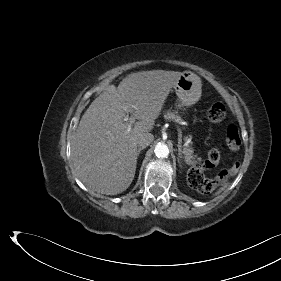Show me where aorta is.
Here are the masks:
<instances>
[{"label": "aorta", "instance_id": "762f6f07", "mask_svg": "<svg viewBox=\"0 0 281 281\" xmlns=\"http://www.w3.org/2000/svg\"><path fill=\"white\" fill-rule=\"evenodd\" d=\"M154 152L158 158H166L169 155L168 146L164 143H158L155 146Z\"/></svg>", "mask_w": 281, "mask_h": 281}]
</instances>
